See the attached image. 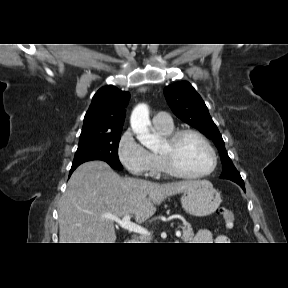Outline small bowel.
<instances>
[{
	"instance_id": "obj_1",
	"label": "small bowel",
	"mask_w": 288,
	"mask_h": 288,
	"mask_svg": "<svg viewBox=\"0 0 288 288\" xmlns=\"http://www.w3.org/2000/svg\"><path fill=\"white\" fill-rule=\"evenodd\" d=\"M194 240L196 243H229V238L226 235L219 234L214 237L207 229L199 230Z\"/></svg>"
}]
</instances>
